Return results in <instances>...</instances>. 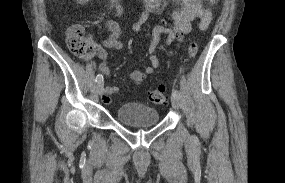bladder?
Instances as JSON below:
<instances>
[{"mask_svg":"<svg viewBox=\"0 0 285 183\" xmlns=\"http://www.w3.org/2000/svg\"><path fill=\"white\" fill-rule=\"evenodd\" d=\"M116 116L123 124L156 125L159 122V113L155 108L135 102L120 106Z\"/></svg>","mask_w":285,"mask_h":183,"instance_id":"31cf9c89","label":"bladder"}]
</instances>
